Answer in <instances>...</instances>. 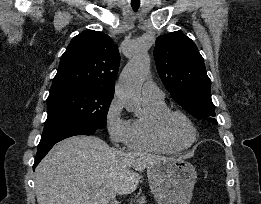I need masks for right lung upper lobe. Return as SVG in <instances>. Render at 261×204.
Returning <instances> with one entry per match:
<instances>
[{
	"label": "right lung upper lobe",
	"mask_w": 261,
	"mask_h": 204,
	"mask_svg": "<svg viewBox=\"0 0 261 204\" xmlns=\"http://www.w3.org/2000/svg\"><path fill=\"white\" fill-rule=\"evenodd\" d=\"M120 56L106 34L88 30L75 36L61 57L50 94L67 90H97L114 94Z\"/></svg>",
	"instance_id": "right-lung-upper-lobe-1"
}]
</instances>
